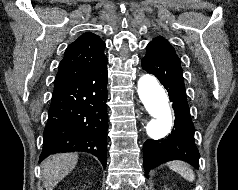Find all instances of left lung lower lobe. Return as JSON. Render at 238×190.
I'll return each instance as SVG.
<instances>
[{
	"mask_svg": "<svg viewBox=\"0 0 238 190\" xmlns=\"http://www.w3.org/2000/svg\"><path fill=\"white\" fill-rule=\"evenodd\" d=\"M142 68L155 75L169 93L175 121L171 134L164 139H149L143 147V165L146 175L157 165L170 160H184L196 168L199 152L195 145V128L191 120L180 60L147 51L141 60Z\"/></svg>",
	"mask_w": 238,
	"mask_h": 190,
	"instance_id": "left-lung-lower-lobe-1",
	"label": "left lung lower lobe"
}]
</instances>
